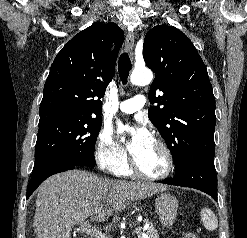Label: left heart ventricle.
Masks as SVG:
<instances>
[{
  "instance_id": "obj_1",
  "label": "left heart ventricle",
  "mask_w": 247,
  "mask_h": 238,
  "mask_svg": "<svg viewBox=\"0 0 247 238\" xmlns=\"http://www.w3.org/2000/svg\"><path fill=\"white\" fill-rule=\"evenodd\" d=\"M134 159L138 167L150 175L161 174L166 167L165 157L153 141L135 155Z\"/></svg>"
}]
</instances>
